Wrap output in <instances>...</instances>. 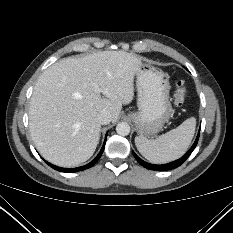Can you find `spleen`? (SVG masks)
Segmentation results:
<instances>
[{"label":"spleen","instance_id":"spleen-1","mask_svg":"<svg viewBox=\"0 0 233 233\" xmlns=\"http://www.w3.org/2000/svg\"><path fill=\"white\" fill-rule=\"evenodd\" d=\"M196 119L188 118L177 128L156 139L135 137L138 151L153 163H167L180 158L188 149L194 136Z\"/></svg>","mask_w":233,"mask_h":233}]
</instances>
